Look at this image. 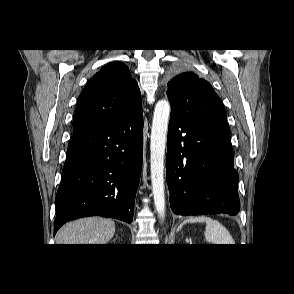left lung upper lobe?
<instances>
[{
    "label": "left lung upper lobe",
    "instance_id": "5c2ea615",
    "mask_svg": "<svg viewBox=\"0 0 294 294\" xmlns=\"http://www.w3.org/2000/svg\"><path fill=\"white\" fill-rule=\"evenodd\" d=\"M171 112L192 122L225 123L227 116L209 82L193 72H183L168 82Z\"/></svg>",
    "mask_w": 294,
    "mask_h": 294
}]
</instances>
